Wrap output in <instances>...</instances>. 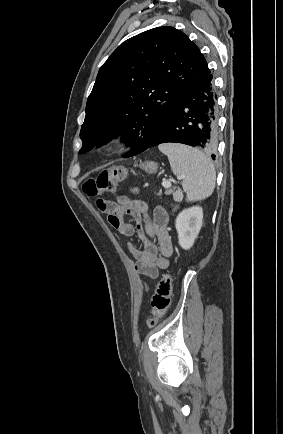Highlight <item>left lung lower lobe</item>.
Instances as JSON below:
<instances>
[{
    "instance_id": "1",
    "label": "left lung lower lobe",
    "mask_w": 283,
    "mask_h": 434,
    "mask_svg": "<svg viewBox=\"0 0 283 434\" xmlns=\"http://www.w3.org/2000/svg\"><path fill=\"white\" fill-rule=\"evenodd\" d=\"M217 111V95L209 71L182 93L147 148L174 142L213 152L217 146Z\"/></svg>"
}]
</instances>
